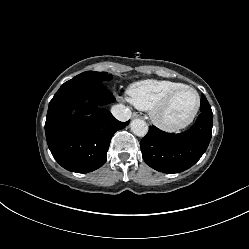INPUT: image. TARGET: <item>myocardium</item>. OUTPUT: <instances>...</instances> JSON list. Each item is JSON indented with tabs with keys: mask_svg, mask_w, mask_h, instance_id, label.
Listing matches in <instances>:
<instances>
[{
	"mask_svg": "<svg viewBox=\"0 0 249 249\" xmlns=\"http://www.w3.org/2000/svg\"><path fill=\"white\" fill-rule=\"evenodd\" d=\"M182 90H190L195 94L196 101L192 112L184 120L180 122L170 123L165 121L161 116L162 112L168 107L174 96ZM200 104H201V98L198 91L189 85H181L170 90L161 100H159L151 108L150 116L154 124H156L161 129L170 132H175L184 129L193 122L200 109Z\"/></svg>",
	"mask_w": 249,
	"mask_h": 249,
	"instance_id": "myocardium-1",
	"label": "myocardium"
}]
</instances>
